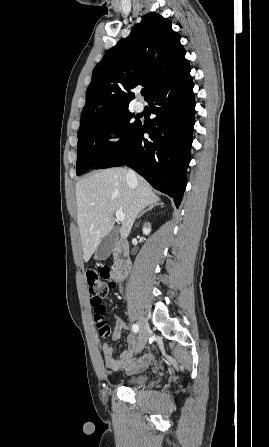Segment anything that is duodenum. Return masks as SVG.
Instances as JSON below:
<instances>
[{"mask_svg": "<svg viewBox=\"0 0 269 447\" xmlns=\"http://www.w3.org/2000/svg\"><path fill=\"white\" fill-rule=\"evenodd\" d=\"M131 269V259L128 243L120 241L115 248V264L110 272V275L115 281L124 280Z\"/></svg>", "mask_w": 269, "mask_h": 447, "instance_id": "duodenum-1", "label": "duodenum"}]
</instances>
